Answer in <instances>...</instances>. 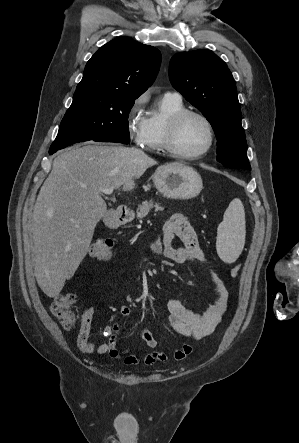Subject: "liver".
<instances>
[{
	"label": "liver",
	"instance_id": "1",
	"mask_svg": "<svg viewBox=\"0 0 299 443\" xmlns=\"http://www.w3.org/2000/svg\"><path fill=\"white\" fill-rule=\"evenodd\" d=\"M156 164L138 148L99 144L68 148L54 159L32 216L34 272L48 297L59 295L74 275L107 213L100 189L131 191Z\"/></svg>",
	"mask_w": 299,
	"mask_h": 443
}]
</instances>
